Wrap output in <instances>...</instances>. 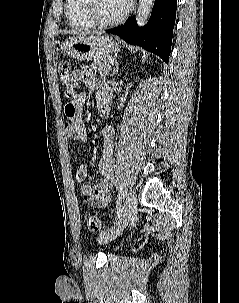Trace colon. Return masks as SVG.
<instances>
[{
	"label": "colon",
	"mask_w": 239,
	"mask_h": 303,
	"mask_svg": "<svg viewBox=\"0 0 239 303\" xmlns=\"http://www.w3.org/2000/svg\"><path fill=\"white\" fill-rule=\"evenodd\" d=\"M59 75L62 87L68 95H74L78 87L80 77L78 70L70 63H62L59 67ZM84 224L93 232H97L101 228L99 219L92 214L84 216Z\"/></svg>",
	"instance_id": "obj_1"
}]
</instances>
